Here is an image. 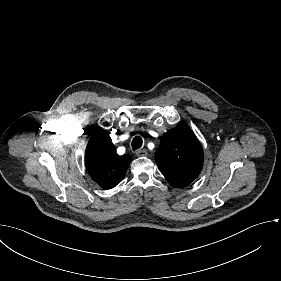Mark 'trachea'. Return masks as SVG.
<instances>
[{"mask_svg": "<svg viewBox=\"0 0 281 281\" xmlns=\"http://www.w3.org/2000/svg\"><path fill=\"white\" fill-rule=\"evenodd\" d=\"M142 144H143V140L140 136L134 137L132 142H131V146H132L133 151L141 148Z\"/></svg>", "mask_w": 281, "mask_h": 281, "instance_id": "3493384b", "label": "trachea"}]
</instances>
